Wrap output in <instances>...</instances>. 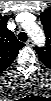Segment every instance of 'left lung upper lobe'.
I'll use <instances>...</instances> for the list:
<instances>
[{
    "label": "left lung upper lobe",
    "mask_w": 51,
    "mask_h": 101,
    "mask_svg": "<svg viewBox=\"0 0 51 101\" xmlns=\"http://www.w3.org/2000/svg\"><path fill=\"white\" fill-rule=\"evenodd\" d=\"M40 20L44 27L46 35V44L44 47H35L34 50L39 55L41 61L48 68L51 67V9L45 10L40 15Z\"/></svg>",
    "instance_id": "left-lung-upper-lobe-1"
}]
</instances>
